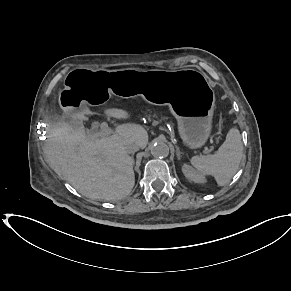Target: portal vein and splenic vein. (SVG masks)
Listing matches in <instances>:
<instances>
[{
	"instance_id": "1",
	"label": "portal vein and splenic vein",
	"mask_w": 291,
	"mask_h": 291,
	"mask_svg": "<svg viewBox=\"0 0 291 291\" xmlns=\"http://www.w3.org/2000/svg\"><path fill=\"white\" fill-rule=\"evenodd\" d=\"M113 133V129H111L107 123H102L100 125V130L91 134L92 137L98 138L103 136H108ZM206 152H210V150L206 149Z\"/></svg>"
}]
</instances>
